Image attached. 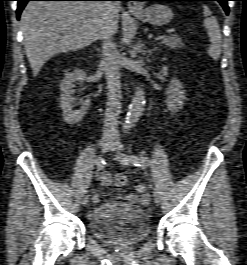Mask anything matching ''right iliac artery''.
<instances>
[{"label":"right iliac artery","instance_id":"1","mask_svg":"<svg viewBox=\"0 0 247 265\" xmlns=\"http://www.w3.org/2000/svg\"><path fill=\"white\" fill-rule=\"evenodd\" d=\"M106 162L105 160L102 158V157H99L96 161V166H97V169L98 170H102L105 166ZM92 203L95 205V204H98L99 203V198L97 196H93L92 197Z\"/></svg>","mask_w":247,"mask_h":265}]
</instances>
